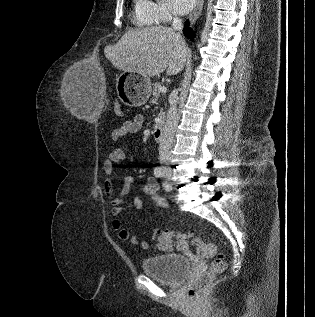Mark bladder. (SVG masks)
<instances>
[{
    "label": "bladder",
    "mask_w": 315,
    "mask_h": 317,
    "mask_svg": "<svg viewBox=\"0 0 315 317\" xmlns=\"http://www.w3.org/2000/svg\"><path fill=\"white\" fill-rule=\"evenodd\" d=\"M190 261L180 254H165L143 260L144 272L166 285L181 283L190 271Z\"/></svg>",
    "instance_id": "1"
}]
</instances>
